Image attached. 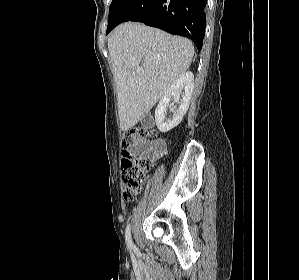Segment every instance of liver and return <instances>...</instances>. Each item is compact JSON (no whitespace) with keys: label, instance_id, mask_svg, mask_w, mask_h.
<instances>
[{"label":"liver","instance_id":"obj_1","mask_svg":"<svg viewBox=\"0 0 299 280\" xmlns=\"http://www.w3.org/2000/svg\"><path fill=\"white\" fill-rule=\"evenodd\" d=\"M120 128L134 127L190 66V40L141 23L119 25L108 39ZM142 68L140 74L138 69Z\"/></svg>","mask_w":299,"mask_h":280}]
</instances>
